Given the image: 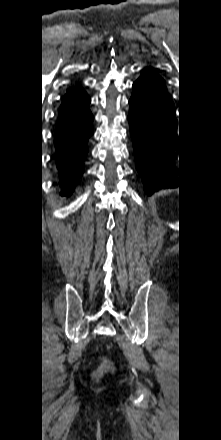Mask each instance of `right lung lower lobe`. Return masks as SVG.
Returning a JSON list of instances; mask_svg holds the SVG:
<instances>
[{"label": "right lung lower lobe", "instance_id": "1", "mask_svg": "<svg viewBox=\"0 0 221 440\" xmlns=\"http://www.w3.org/2000/svg\"><path fill=\"white\" fill-rule=\"evenodd\" d=\"M90 97L81 87L65 94L59 109L55 133L56 163L63 189L71 193L84 171L87 141L93 133Z\"/></svg>", "mask_w": 221, "mask_h": 440}]
</instances>
